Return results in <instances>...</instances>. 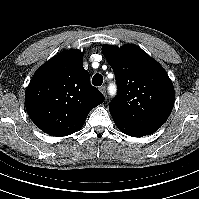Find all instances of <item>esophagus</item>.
Instances as JSON below:
<instances>
[{"label": "esophagus", "mask_w": 199, "mask_h": 199, "mask_svg": "<svg viewBox=\"0 0 199 199\" xmlns=\"http://www.w3.org/2000/svg\"><path fill=\"white\" fill-rule=\"evenodd\" d=\"M99 90L104 96L106 95V87L105 86H100Z\"/></svg>", "instance_id": "1"}]
</instances>
